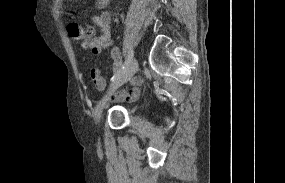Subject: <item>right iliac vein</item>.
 <instances>
[{"instance_id": "63e3f726", "label": "right iliac vein", "mask_w": 285, "mask_h": 183, "mask_svg": "<svg viewBox=\"0 0 285 183\" xmlns=\"http://www.w3.org/2000/svg\"><path fill=\"white\" fill-rule=\"evenodd\" d=\"M137 70H138V62L134 60L131 62V64L128 66L125 72L120 77H118L117 79L113 81L111 85V90L117 89L123 84H125L127 81H129L134 76V74L137 72ZM111 90L98 102L95 108V120L97 123H100L101 121L102 112L106 106L107 100L110 97Z\"/></svg>"}]
</instances>
